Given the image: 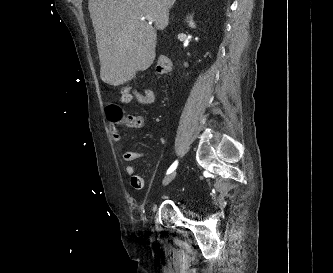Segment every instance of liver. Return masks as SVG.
I'll return each mask as SVG.
<instances>
[{"label":"liver","mask_w":333,"mask_h":273,"mask_svg":"<svg viewBox=\"0 0 333 273\" xmlns=\"http://www.w3.org/2000/svg\"><path fill=\"white\" fill-rule=\"evenodd\" d=\"M173 0H89L100 60L101 80L119 86L149 68L157 33L169 24ZM149 16L154 23H148Z\"/></svg>","instance_id":"obj_1"}]
</instances>
